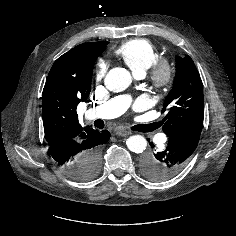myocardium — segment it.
I'll list each match as a JSON object with an SVG mask.
<instances>
[{
    "instance_id": "obj_1",
    "label": "myocardium",
    "mask_w": 236,
    "mask_h": 236,
    "mask_svg": "<svg viewBox=\"0 0 236 236\" xmlns=\"http://www.w3.org/2000/svg\"><path fill=\"white\" fill-rule=\"evenodd\" d=\"M173 78L174 65L167 57H159L148 69V80L155 89L168 88Z\"/></svg>"
}]
</instances>
